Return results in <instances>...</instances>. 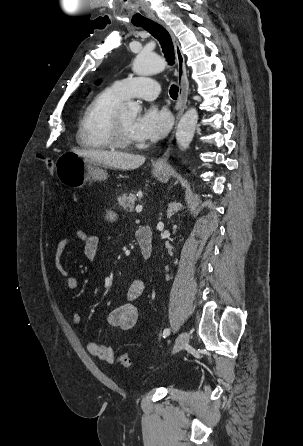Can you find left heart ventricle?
<instances>
[{
    "instance_id": "left-heart-ventricle-1",
    "label": "left heart ventricle",
    "mask_w": 303,
    "mask_h": 446,
    "mask_svg": "<svg viewBox=\"0 0 303 446\" xmlns=\"http://www.w3.org/2000/svg\"><path fill=\"white\" fill-rule=\"evenodd\" d=\"M121 121L124 126L126 134L133 140H137L133 135V125L136 120V115L131 113H121Z\"/></svg>"
}]
</instances>
